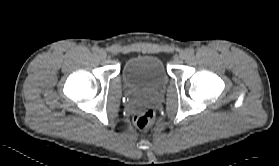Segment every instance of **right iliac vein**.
<instances>
[{"label":"right iliac vein","instance_id":"1","mask_svg":"<svg viewBox=\"0 0 279 166\" xmlns=\"http://www.w3.org/2000/svg\"><path fill=\"white\" fill-rule=\"evenodd\" d=\"M98 55L101 59H105L107 57V53L104 50H99Z\"/></svg>","mask_w":279,"mask_h":166}]
</instances>
